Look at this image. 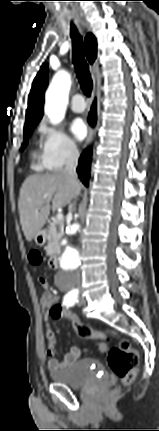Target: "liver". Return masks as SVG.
Segmentation results:
<instances>
[{"label":"liver","mask_w":159,"mask_h":431,"mask_svg":"<svg viewBox=\"0 0 159 431\" xmlns=\"http://www.w3.org/2000/svg\"><path fill=\"white\" fill-rule=\"evenodd\" d=\"M78 190L79 182L65 176L63 172L27 177L18 200L20 223L26 240L30 242L41 232L51 209L68 205Z\"/></svg>","instance_id":"liver-1"}]
</instances>
